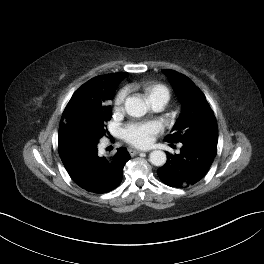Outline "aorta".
Listing matches in <instances>:
<instances>
[{
  "label": "aorta",
  "instance_id": "obj_1",
  "mask_svg": "<svg viewBox=\"0 0 264 264\" xmlns=\"http://www.w3.org/2000/svg\"><path fill=\"white\" fill-rule=\"evenodd\" d=\"M125 110L130 116L142 117L147 112V106L145 102L138 97H128L125 100ZM149 160L155 166H163L166 163L167 157L165 152L155 150L150 153Z\"/></svg>",
  "mask_w": 264,
  "mask_h": 264
}]
</instances>
